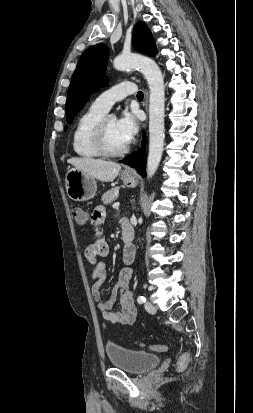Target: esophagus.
I'll return each instance as SVG.
<instances>
[{
	"label": "esophagus",
	"instance_id": "34e87169",
	"mask_svg": "<svg viewBox=\"0 0 253 413\" xmlns=\"http://www.w3.org/2000/svg\"><path fill=\"white\" fill-rule=\"evenodd\" d=\"M145 105H147V96L145 97ZM125 171L126 172H132V170L130 168H127Z\"/></svg>",
	"mask_w": 253,
	"mask_h": 413
}]
</instances>
